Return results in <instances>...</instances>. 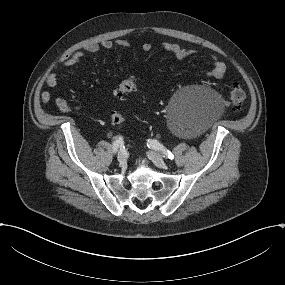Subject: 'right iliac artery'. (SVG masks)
<instances>
[{
	"label": "right iliac artery",
	"mask_w": 285,
	"mask_h": 285,
	"mask_svg": "<svg viewBox=\"0 0 285 285\" xmlns=\"http://www.w3.org/2000/svg\"><path fill=\"white\" fill-rule=\"evenodd\" d=\"M123 137L119 136L115 139V141L113 142V153L116 154L119 150V148L123 147Z\"/></svg>",
	"instance_id": "82829eb1"
}]
</instances>
